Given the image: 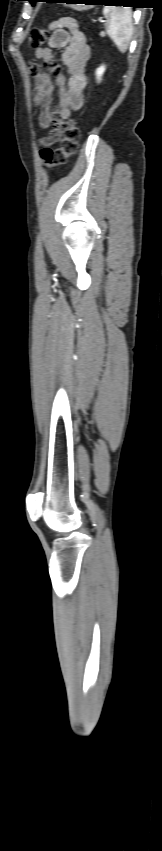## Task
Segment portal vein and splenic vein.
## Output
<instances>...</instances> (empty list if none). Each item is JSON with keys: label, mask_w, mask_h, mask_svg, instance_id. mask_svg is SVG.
Returning <instances> with one entry per match:
<instances>
[{"label": "portal vein and splenic vein", "mask_w": 162, "mask_h": 851, "mask_svg": "<svg viewBox=\"0 0 162 851\" xmlns=\"http://www.w3.org/2000/svg\"><path fill=\"white\" fill-rule=\"evenodd\" d=\"M99 21H100V22H105V20H102V19H100Z\"/></svg>", "instance_id": "1"}]
</instances>
